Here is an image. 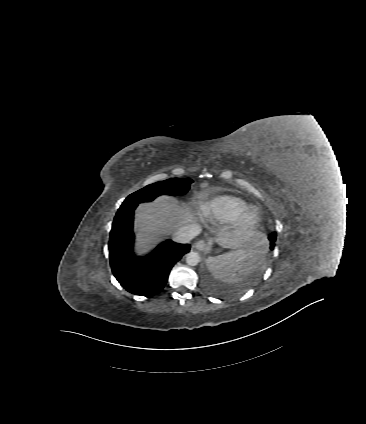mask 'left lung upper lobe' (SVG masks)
I'll return each mask as SVG.
<instances>
[{"instance_id": "5c2ea615", "label": "left lung upper lobe", "mask_w": 366, "mask_h": 424, "mask_svg": "<svg viewBox=\"0 0 366 424\" xmlns=\"http://www.w3.org/2000/svg\"><path fill=\"white\" fill-rule=\"evenodd\" d=\"M276 236H277L276 233L273 232L268 237V239L270 240V250H273L274 249Z\"/></svg>"}]
</instances>
